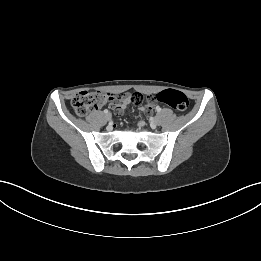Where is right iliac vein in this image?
<instances>
[{
	"label": "right iliac vein",
	"instance_id": "1",
	"mask_svg": "<svg viewBox=\"0 0 261 261\" xmlns=\"http://www.w3.org/2000/svg\"><path fill=\"white\" fill-rule=\"evenodd\" d=\"M111 118H112L111 113H107V114H106V119L109 121V120H111Z\"/></svg>",
	"mask_w": 261,
	"mask_h": 261
}]
</instances>
